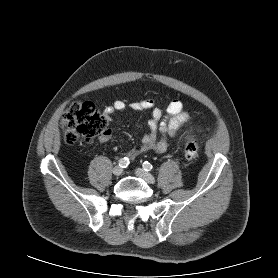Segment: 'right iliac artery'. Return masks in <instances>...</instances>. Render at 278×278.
I'll use <instances>...</instances> for the list:
<instances>
[{
    "label": "right iliac artery",
    "mask_w": 278,
    "mask_h": 278,
    "mask_svg": "<svg viewBox=\"0 0 278 278\" xmlns=\"http://www.w3.org/2000/svg\"><path fill=\"white\" fill-rule=\"evenodd\" d=\"M129 159L127 157H123L119 160L118 164L121 168H126L129 165Z\"/></svg>",
    "instance_id": "obj_1"
}]
</instances>
